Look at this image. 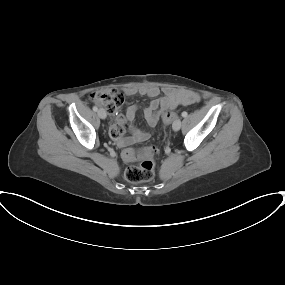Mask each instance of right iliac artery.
<instances>
[{
    "instance_id": "right-iliac-artery-1",
    "label": "right iliac artery",
    "mask_w": 285,
    "mask_h": 285,
    "mask_svg": "<svg viewBox=\"0 0 285 285\" xmlns=\"http://www.w3.org/2000/svg\"><path fill=\"white\" fill-rule=\"evenodd\" d=\"M97 110H98V108H97L96 106H94V107H93V111L96 112Z\"/></svg>"
}]
</instances>
